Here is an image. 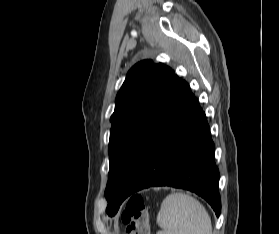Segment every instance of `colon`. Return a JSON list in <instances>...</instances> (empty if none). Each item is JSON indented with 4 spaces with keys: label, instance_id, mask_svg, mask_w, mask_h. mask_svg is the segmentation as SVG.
I'll return each instance as SVG.
<instances>
[{
    "label": "colon",
    "instance_id": "1",
    "mask_svg": "<svg viewBox=\"0 0 279 234\" xmlns=\"http://www.w3.org/2000/svg\"><path fill=\"white\" fill-rule=\"evenodd\" d=\"M121 219L125 234H150L149 210L142 196L133 195L127 200Z\"/></svg>",
    "mask_w": 279,
    "mask_h": 234
}]
</instances>
